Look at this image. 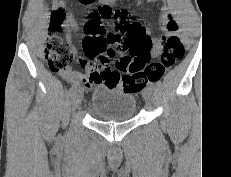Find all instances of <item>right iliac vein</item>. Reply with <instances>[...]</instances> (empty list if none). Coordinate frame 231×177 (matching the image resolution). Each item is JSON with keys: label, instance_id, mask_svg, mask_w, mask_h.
Masks as SVG:
<instances>
[{"label": "right iliac vein", "instance_id": "obj_1", "mask_svg": "<svg viewBox=\"0 0 231 177\" xmlns=\"http://www.w3.org/2000/svg\"><path fill=\"white\" fill-rule=\"evenodd\" d=\"M82 97L83 96L81 90H75L74 93L71 95L70 107L72 111H74L80 105Z\"/></svg>", "mask_w": 231, "mask_h": 177}]
</instances>
